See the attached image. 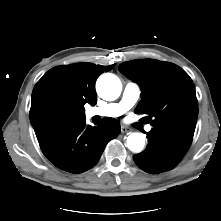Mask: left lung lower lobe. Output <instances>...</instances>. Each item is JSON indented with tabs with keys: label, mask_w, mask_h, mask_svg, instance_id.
I'll list each match as a JSON object with an SVG mask.
<instances>
[{
	"label": "left lung lower lobe",
	"mask_w": 221,
	"mask_h": 221,
	"mask_svg": "<svg viewBox=\"0 0 221 221\" xmlns=\"http://www.w3.org/2000/svg\"><path fill=\"white\" fill-rule=\"evenodd\" d=\"M147 138V148L133 159L139 168L153 174L173 169L192 143V139L162 127H153Z\"/></svg>",
	"instance_id": "1"
}]
</instances>
